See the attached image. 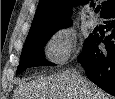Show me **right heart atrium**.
Instances as JSON below:
<instances>
[{
  "label": "right heart atrium",
  "mask_w": 115,
  "mask_h": 99,
  "mask_svg": "<svg viewBox=\"0 0 115 99\" xmlns=\"http://www.w3.org/2000/svg\"><path fill=\"white\" fill-rule=\"evenodd\" d=\"M45 55L54 66H60L77 54V38L67 28L53 32L45 42Z\"/></svg>",
  "instance_id": "obj_1"
}]
</instances>
